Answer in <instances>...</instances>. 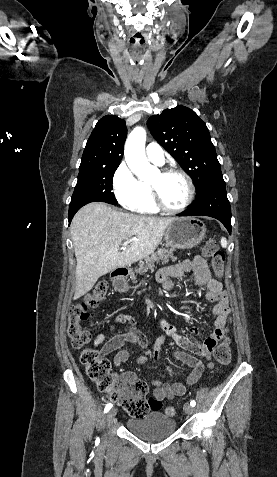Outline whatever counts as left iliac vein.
Listing matches in <instances>:
<instances>
[{"instance_id": "obj_1", "label": "left iliac vein", "mask_w": 277, "mask_h": 477, "mask_svg": "<svg viewBox=\"0 0 277 477\" xmlns=\"http://www.w3.org/2000/svg\"><path fill=\"white\" fill-rule=\"evenodd\" d=\"M184 411L186 414L190 415L193 413L194 409L190 404H185L184 405Z\"/></svg>"}]
</instances>
